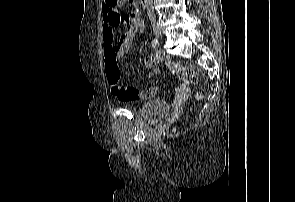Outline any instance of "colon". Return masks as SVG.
<instances>
[{
    "instance_id": "1",
    "label": "colon",
    "mask_w": 295,
    "mask_h": 202,
    "mask_svg": "<svg viewBox=\"0 0 295 202\" xmlns=\"http://www.w3.org/2000/svg\"><path fill=\"white\" fill-rule=\"evenodd\" d=\"M105 3L107 4L108 12L116 14L120 17L121 25H127L129 23V16L120 13L118 7L120 5L132 3V0H105ZM168 69L171 73L177 75L181 81H185L186 84L194 85L198 82L196 73L189 67L176 62H171L168 64Z\"/></svg>"
}]
</instances>
